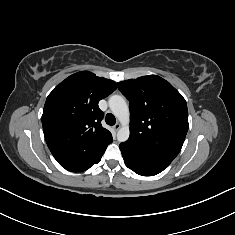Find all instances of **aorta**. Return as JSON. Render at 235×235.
Masks as SVG:
<instances>
[{"label":"aorta","mask_w":235,"mask_h":235,"mask_svg":"<svg viewBox=\"0 0 235 235\" xmlns=\"http://www.w3.org/2000/svg\"><path fill=\"white\" fill-rule=\"evenodd\" d=\"M109 107L114 116L120 121L121 128L117 132V140L119 142H125L130 135L129 121L130 112L125 99L120 95H112L109 100Z\"/></svg>","instance_id":"762f6f07"}]
</instances>
